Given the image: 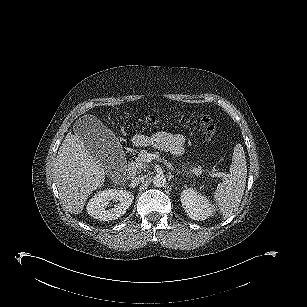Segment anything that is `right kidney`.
Here are the masks:
<instances>
[{"instance_id":"right-kidney-1","label":"right kidney","mask_w":307,"mask_h":307,"mask_svg":"<svg viewBox=\"0 0 307 307\" xmlns=\"http://www.w3.org/2000/svg\"><path fill=\"white\" fill-rule=\"evenodd\" d=\"M134 199L130 191L108 189L95 194L87 204V212L90 216L100 221H110L121 217L126 213ZM115 202L114 207H109L110 201ZM107 206L109 207L108 209Z\"/></svg>"}]
</instances>
